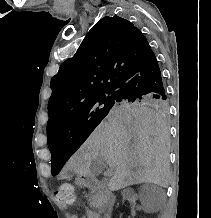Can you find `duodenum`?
Here are the masks:
<instances>
[{"mask_svg": "<svg viewBox=\"0 0 211 218\" xmlns=\"http://www.w3.org/2000/svg\"><path fill=\"white\" fill-rule=\"evenodd\" d=\"M82 181L86 187L100 191V214L102 218H111L112 210L115 204V195L109 191L98 178L90 173H83Z\"/></svg>", "mask_w": 211, "mask_h": 218, "instance_id": "duodenum-1", "label": "duodenum"}]
</instances>
